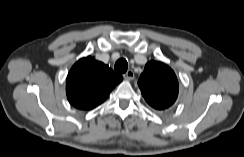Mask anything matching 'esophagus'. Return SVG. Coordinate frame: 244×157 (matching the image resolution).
<instances>
[{"instance_id": "esophagus-1", "label": "esophagus", "mask_w": 244, "mask_h": 157, "mask_svg": "<svg viewBox=\"0 0 244 157\" xmlns=\"http://www.w3.org/2000/svg\"><path fill=\"white\" fill-rule=\"evenodd\" d=\"M123 77L125 80H133L135 77V74L132 70H128L126 73L123 74Z\"/></svg>"}]
</instances>
